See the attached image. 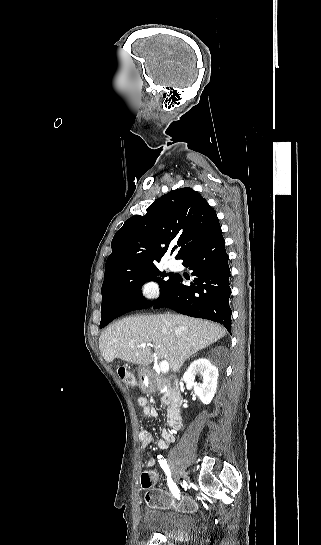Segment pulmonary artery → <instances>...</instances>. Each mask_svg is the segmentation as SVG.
<instances>
[{"instance_id":"obj_1","label":"pulmonary artery","mask_w":321,"mask_h":545,"mask_svg":"<svg viewBox=\"0 0 321 545\" xmlns=\"http://www.w3.org/2000/svg\"><path fill=\"white\" fill-rule=\"evenodd\" d=\"M167 267L172 270V271H176V270H179L180 267H181V264L176 261V260H173V259H170L168 262H167Z\"/></svg>"}]
</instances>
